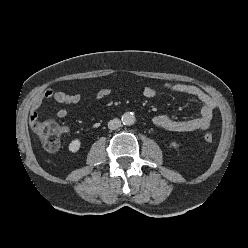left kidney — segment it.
<instances>
[{
    "mask_svg": "<svg viewBox=\"0 0 248 248\" xmlns=\"http://www.w3.org/2000/svg\"><path fill=\"white\" fill-rule=\"evenodd\" d=\"M171 146H172L173 148H177L178 145H177L176 142L173 141V142H171Z\"/></svg>",
    "mask_w": 248,
    "mask_h": 248,
    "instance_id": "left-kidney-1",
    "label": "left kidney"
}]
</instances>
